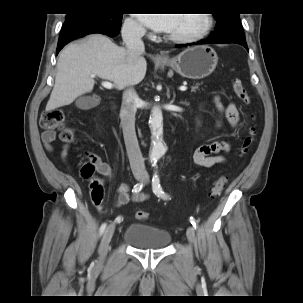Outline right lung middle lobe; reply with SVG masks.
Instances as JSON below:
<instances>
[{"label":"right lung middle lobe","instance_id":"obj_1","mask_svg":"<svg viewBox=\"0 0 303 303\" xmlns=\"http://www.w3.org/2000/svg\"><path fill=\"white\" fill-rule=\"evenodd\" d=\"M84 14H90V15H97V16H102V17H110V18H118V19H122L123 14L120 13H116V14H112V13H103V12H98V11H86L84 12ZM70 14L67 15V17H69Z\"/></svg>","mask_w":303,"mask_h":303}]
</instances>
